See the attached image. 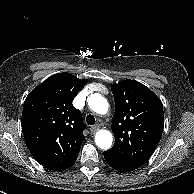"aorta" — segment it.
Listing matches in <instances>:
<instances>
[{"instance_id": "1", "label": "aorta", "mask_w": 194, "mask_h": 194, "mask_svg": "<svg viewBox=\"0 0 194 194\" xmlns=\"http://www.w3.org/2000/svg\"><path fill=\"white\" fill-rule=\"evenodd\" d=\"M88 105L91 110L98 114H106L108 102L100 94H91L88 98ZM113 136L108 130H99L95 135L96 145L102 150H108L112 146Z\"/></svg>"}]
</instances>
